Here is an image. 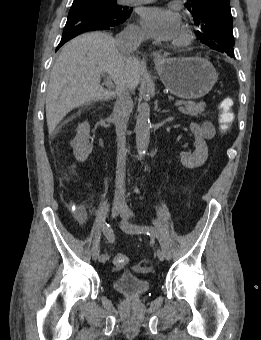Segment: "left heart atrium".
<instances>
[{"instance_id":"obj_1","label":"left heart atrium","mask_w":261,"mask_h":340,"mask_svg":"<svg viewBox=\"0 0 261 340\" xmlns=\"http://www.w3.org/2000/svg\"><path fill=\"white\" fill-rule=\"evenodd\" d=\"M145 33L158 42L174 39L180 30V20L176 13L165 7H145L140 13Z\"/></svg>"}]
</instances>
